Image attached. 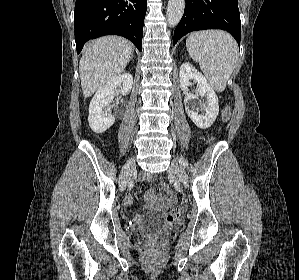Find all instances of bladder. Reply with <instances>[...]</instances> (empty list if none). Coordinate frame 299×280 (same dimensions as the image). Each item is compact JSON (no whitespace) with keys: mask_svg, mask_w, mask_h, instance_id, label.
<instances>
[{"mask_svg":"<svg viewBox=\"0 0 299 280\" xmlns=\"http://www.w3.org/2000/svg\"><path fill=\"white\" fill-rule=\"evenodd\" d=\"M141 225L151 230H161L166 227V222L158 214H150L142 219Z\"/></svg>","mask_w":299,"mask_h":280,"instance_id":"obj_1","label":"bladder"}]
</instances>
